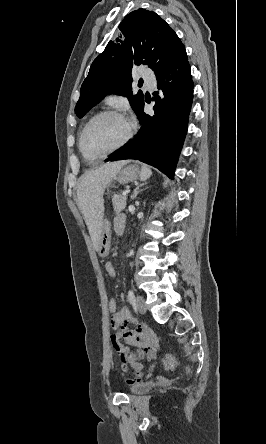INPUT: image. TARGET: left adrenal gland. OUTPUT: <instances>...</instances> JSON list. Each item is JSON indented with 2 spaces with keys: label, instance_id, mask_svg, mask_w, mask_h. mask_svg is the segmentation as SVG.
<instances>
[{
  "label": "left adrenal gland",
  "instance_id": "1",
  "mask_svg": "<svg viewBox=\"0 0 266 444\" xmlns=\"http://www.w3.org/2000/svg\"><path fill=\"white\" fill-rule=\"evenodd\" d=\"M145 184H146V183L139 184V185L134 189V192H133V195L131 196V199H135V198L137 197L138 193H139L140 191H142V190H139V188L142 187V186H144Z\"/></svg>",
  "mask_w": 266,
  "mask_h": 444
}]
</instances>
